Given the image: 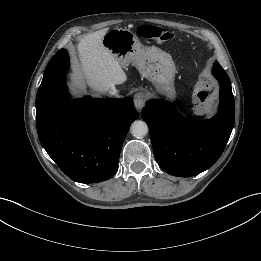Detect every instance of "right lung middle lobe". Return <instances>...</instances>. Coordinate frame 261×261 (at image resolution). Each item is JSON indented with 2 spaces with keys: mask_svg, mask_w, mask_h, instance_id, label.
<instances>
[{
  "mask_svg": "<svg viewBox=\"0 0 261 261\" xmlns=\"http://www.w3.org/2000/svg\"><path fill=\"white\" fill-rule=\"evenodd\" d=\"M69 67V57L66 50H59L48 63L42 83L37 92V96L42 94L52 85L56 79L63 74Z\"/></svg>",
  "mask_w": 261,
  "mask_h": 261,
  "instance_id": "obj_1",
  "label": "right lung middle lobe"
}]
</instances>
